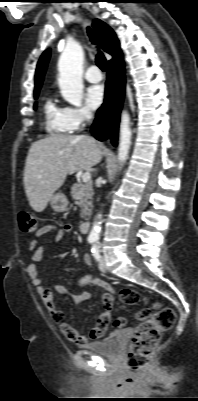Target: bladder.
Wrapping results in <instances>:
<instances>
[{
  "label": "bladder",
  "mask_w": 198,
  "mask_h": 401,
  "mask_svg": "<svg viewBox=\"0 0 198 401\" xmlns=\"http://www.w3.org/2000/svg\"><path fill=\"white\" fill-rule=\"evenodd\" d=\"M84 348L92 354L103 355L112 358L118 357L120 353V345L116 332L110 333L97 342L89 343Z\"/></svg>",
  "instance_id": "1"
}]
</instances>
